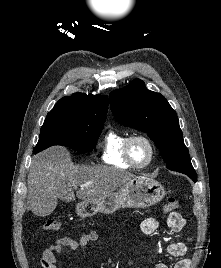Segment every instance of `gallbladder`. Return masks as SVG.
<instances>
[{
	"mask_svg": "<svg viewBox=\"0 0 221 268\" xmlns=\"http://www.w3.org/2000/svg\"><path fill=\"white\" fill-rule=\"evenodd\" d=\"M56 207V199H33L32 209L35 217H48Z\"/></svg>",
	"mask_w": 221,
	"mask_h": 268,
	"instance_id": "1",
	"label": "gallbladder"
}]
</instances>
